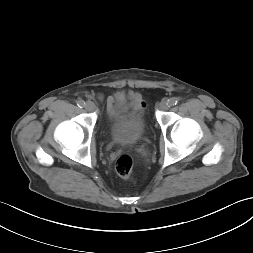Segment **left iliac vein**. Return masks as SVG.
I'll return each instance as SVG.
<instances>
[{
    "mask_svg": "<svg viewBox=\"0 0 253 253\" xmlns=\"http://www.w3.org/2000/svg\"><path fill=\"white\" fill-rule=\"evenodd\" d=\"M170 106L171 105H170L169 101L162 100L161 103H160V105H159V109L160 110H168L170 108Z\"/></svg>",
    "mask_w": 253,
    "mask_h": 253,
    "instance_id": "left-iliac-vein-1",
    "label": "left iliac vein"
}]
</instances>
